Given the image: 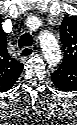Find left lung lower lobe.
I'll use <instances>...</instances> for the list:
<instances>
[{
    "label": "left lung lower lobe",
    "mask_w": 77,
    "mask_h": 125,
    "mask_svg": "<svg viewBox=\"0 0 77 125\" xmlns=\"http://www.w3.org/2000/svg\"><path fill=\"white\" fill-rule=\"evenodd\" d=\"M61 71H63V69L61 68V67H59L55 72H61ZM71 71V70H70ZM53 74V73H52ZM52 74H51V76H52Z\"/></svg>",
    "instance_id": "0a47b994"
}]
</instances>
